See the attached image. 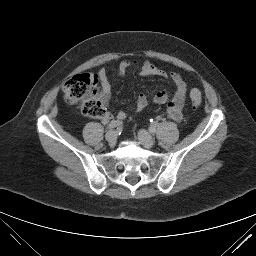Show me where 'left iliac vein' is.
<instances>
[{"instance_id":"obj_1","label":"left iliac vein","mask_w":256,"mask_h":256,"mask_svg":"<svg viewBox=\"0 0 256 256\" xmlns=\"http://www.w3.org/2000/svg\"><path fill=\"white\" fill-rule=\"evenodd\" d=\"M138 139L146 148H152L155 145L154 138L145 130L138 132Z\"/></svg>"}]
</instances>
